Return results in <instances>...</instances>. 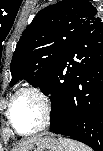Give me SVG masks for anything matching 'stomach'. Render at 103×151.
I'll return each mask as SVG.
<instances>
[{
    "label": "stomach",
    "mask_w": 103,
    "mask_h": 151,
    "mask_svg": "<svg viewBox=\"0 0 103 151\" xmlns=\"http://www.w3.org/2000/svg\"><path fill=\"white\" fill-rule=\"evenodd\" d=\"M25 151H64L59 138L53 136H37L30 142Z\"/></svg>",
    "instance_id": "stomach-1"
}]
</instances>
